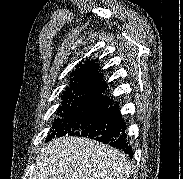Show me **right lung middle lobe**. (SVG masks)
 I'll use <instances>...</instances> for the list:
<instances>
[{
	"label": "right lung middle lobe",
	"instance_id": "right-lung-middle-lobe-1",
	"mask_svg": "<svg viewBox=\"0 0 183 179\" xmlns=\"http://www.w3.org/2000/svg\"><path fill=\"white\" fill-rule=\"evenodd\" d=\"M107 106V98L101 96L69 100L62 103L57 110L59 118L54 120L47 141L54 136L79 134L87 126L95 123Z\"/></svg>",
	"mask_w": 183,
	"mask_h": 179
}]
</instances>
